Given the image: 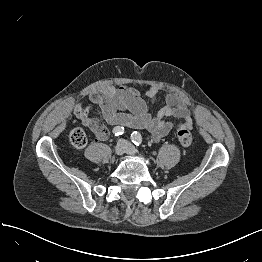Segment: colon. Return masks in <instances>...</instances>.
<instances>
[{
    "instance_id": "5ec220e1",
    "label": "colon",
    "mask_w": 262,
    "mask_h": 262,
    "mask_svg": "<svg viewBox=\"0 0 262 262\" xmlns=\"http://www.w3.org/2000/svg\"><path fill=\"white\" fill-rule=\"evenodd\" d=\"M176 135L181 145L186 147L191 145L192 134L189 126L185 124L179 125L176 129ZM69 139L73 147L76 149H82L87 144V135L80 127H76L70 132Z\"/></svg>"
}]
</instances>
